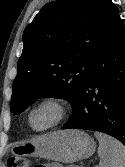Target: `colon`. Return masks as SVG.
<instances>
[{"label": "colon", "mask_w": 125, "mask_h": 167, "mask_svg": "<svg viewBox=\"0 0 125 167\" xmlns=\"http://www.w3.org/2000/svg\"><path fill=\"white\" fill-rule=\"evenodd\" d=\"M7 164L8 167H30L29 161L20 155L11 156ZM35 167H37V165Z\"/></svg>", "instance_id": "5ec220e1"}]
</instances>
